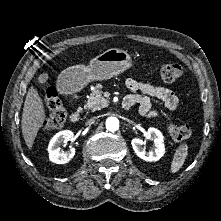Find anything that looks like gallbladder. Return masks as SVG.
I'll list each match as a JSON object with an SVG mask.
<instances>
[{"instance_id":"1","label":"gallbladder","mask_w":221,"mask_h":221,"mask_svg":"<svg viewBox=\"0 0 221 221\" xmlns=\"http://www.w3.org/2000/svg\"><path fill=\"white\" fill-rule=\"evenodd\" d=\"M42 77L45 79L46 77H45V75H42Z\"/></svg>"}]
</instances>
